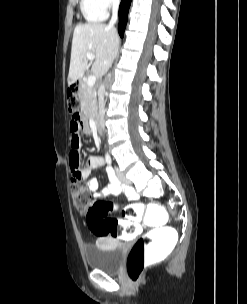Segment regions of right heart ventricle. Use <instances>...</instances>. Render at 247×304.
I'll use <instances>...</instances> for the list:
<instances>
[{
    "mask_svg": "<svg viewBox=\"0 0 247 304\" xmlns=\"http://www.w3.org/2000/svg\"><path fill=\"white\" fill-rule=\"evenodd\" d=\"M80 9L88 22H100L107 17V12L99 5L97 0H81Z\"/></svg>",
    "mask_w": 247,
    "mask_h": 304,
    "instance_id": "1",
    "label": "right heart ventricle"
}]
</instances>
